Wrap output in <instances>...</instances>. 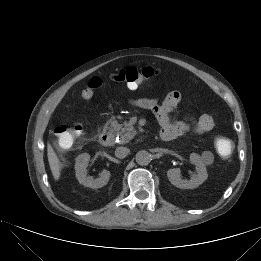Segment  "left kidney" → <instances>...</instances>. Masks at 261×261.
Masks as SVG:
<instances>
[{
    "label": "left kidney",
    "mask_w": 261,
    "mask_h": 261,
    "mask_svg": "<svg viewBox=\"0 0 261 261\" xmlns=\"http://www.w3.org/2000/svg\"><path fill=\"white\" fill-rule=\"evenodd\" d=\"M190 162L195 165L197 174L190 180H184L180 176L181 170L179 168L169 169L167 177L171 184L180 189H193L201 185L208 178L206 166L198 154L191 153Z\"/></svg>",
    "instance_id": "1"
}]
</instances>
